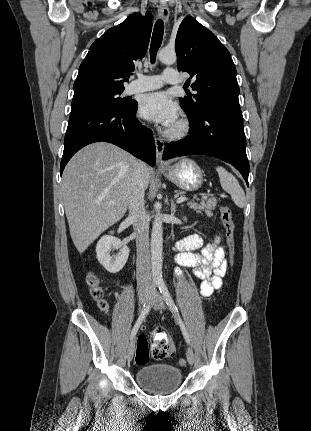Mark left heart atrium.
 <instances>
[{"instance_id":"left-heart-atrium-1","label":"left heart atrium","mask_w":311,"mask_h":431,"mask_svg":"<svg viewBox=\"0 0 311 431\" xmlns=\"http://www.w3.org/2000/svg\"><path fill=\"white\" fill-rule=\"evenodd\" d=\"M139 113L157 124L172 127L177 123L179 108L168 93L160 91L142 98Z\"/></svg>"}]
</instances>
